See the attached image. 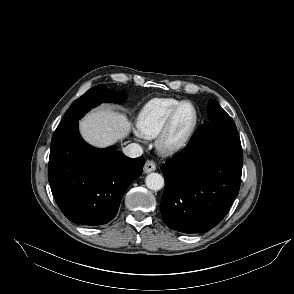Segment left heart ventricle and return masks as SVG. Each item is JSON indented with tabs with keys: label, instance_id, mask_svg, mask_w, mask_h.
<instances>
[{
	"label": "left heart ventricle",
	"instance_id": "obj_1",
	"mask_svg": "<svg viewBox=\"0 0 294 294\" xmlns=\"http://www.w3.org/2000/svg\"><path fill=\"white\" fill-rule=\"evenodd\" d=\"M193 118H194L193 108L190 105H185L181 109L176 119L172 137L173 138L181 137L191 125Z\"/></svg>",
	"mask_w": 294,
	"mask_h": 294
}]
</instances>
